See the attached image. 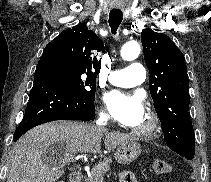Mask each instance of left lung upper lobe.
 Masks as SVG:
<instances>
[{"instance_id": "1", "label": "left lung upper lobe", "mask_w": 211, "mask_h": 182, "mask_svg": "<svg viewBox=\"0 0 211 182\" xmlns=\"http://www.w3.org/2000/svg\"><path fill=\"white\" fill-rule=\"evenodd\" d=\"M149 89L168 147L187 159L195 154V134L189 113V80L182 52L163 33L141 32Z\"/></svg>"}]
</instances>
